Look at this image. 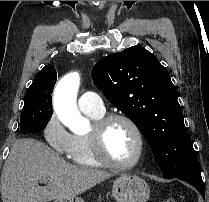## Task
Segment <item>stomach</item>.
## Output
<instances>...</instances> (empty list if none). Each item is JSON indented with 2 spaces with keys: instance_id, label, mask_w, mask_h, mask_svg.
I'll use <instances>...</instances> for the list:
<instances>
[{
  "instance_id": "1",
  "label": "stomach",
  "mask_w": 209,
  "mask_h": 202,
  "mask_svg": "<svg viewBox=\"0 0 209 202\" xmlns=\"http://www.w3.org/2000/svg\"><path fill=\"white\" fill-rule=\"evenodd\" d=\"M112 195L117 202H146L150 197V187L139 176L122 174L113 183ZM55 202L84 201L75 196L56 199Z\"/></svg>"
}]
</instances>
